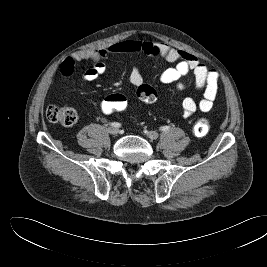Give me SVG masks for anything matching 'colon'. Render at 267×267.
Masks as SVG:
<instances>
[{
    "mask_svg": "<svg viewBox=\"0 0 267 267\" xmlns=\"http://www.w3.org/2000/svg\"><path fill=\"white\" fill-rule=\"evenodd\" d=\"M138 99L145 103L151 104L156 98V91L149 85L141 84L137 89ZM100 110L104 114H116L129 111L133 103L123 93H112L105 96L100 102ZM46 117L52 123L63 126H71L77 121L76 111L68 106L50 105L46 110ZM210 123L206 118L197 119L192 127L193 134L197 137H203L208 134Z\"/></svg>",
    "mask_w": 267,
    "mask_h": 267,
    "instance_id": "obj_1",
    "label": "colon"
}]
</instances>
